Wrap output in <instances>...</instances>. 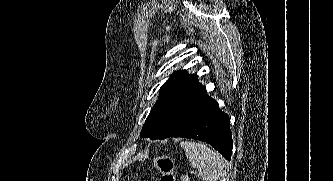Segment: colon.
I'll return each instance as SVG.
<instances>
[{
  "label": "colon",
  "mask_w": 333,
  "mask_h": 181,
  "mask_svg": "<svg viewBox=\"0 0 333 181\" xmlns=\"http://www.w3.org/2000/svg\"><path fill=\"white\" fill-rule=\"evenodd\" d=\"M153 165L160 175V181H177L175 163L170 156L160 155L154 158Z\"/></svg>",
  "instance_id": "colon-1"
}]
</instances>
